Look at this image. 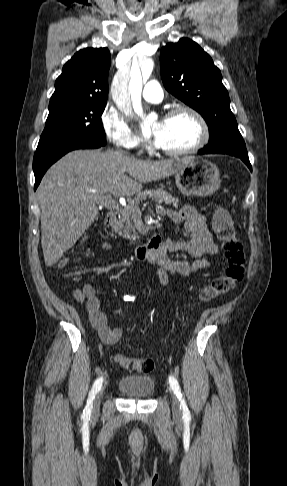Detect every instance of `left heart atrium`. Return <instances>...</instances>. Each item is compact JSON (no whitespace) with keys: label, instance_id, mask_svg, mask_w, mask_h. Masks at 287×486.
<instances>
[{"label":"left heart atrium","instance_id":"39dd6f15","mask_svg":"<svg viewBox=\"0 0 287 486\" xmlns=\"http://www.w3.org/2000/svg\"><path fill=\"white\" fill-rule=\"evenodd\" d=\"M154 142H155V144H156V145H157V144H158V142H159V139H158V136H157V135H155V136H154Z\"/></svg>","mask_w":287,"mask_h":486}]
</instances>
